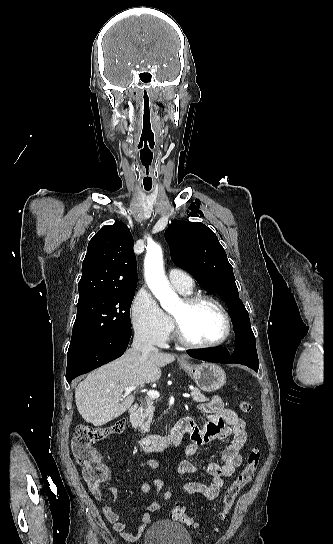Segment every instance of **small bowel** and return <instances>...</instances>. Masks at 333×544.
Listing matches in <instances>:
<instances>
[{
	"mask_svg": "<svg viewBox=\"0 0 333 544\" xmlns=\"http://www.w3.org/2000/svg\"><path fill=\"white\" fill-rule=\"evenodd\" d=\"M199 410L204 414L207 421L203 426L197 424L192 418H185L184 424L186 434L189 435L191 443L185 449V458L179 461L175 466V471L180 474H192L199 471V465L194 460L202 446L212 441L230 440L228 446L222 454L223 464L208 463L206 471L212 480L209 484L201 482H189L181 486L180 490L188 495L200 494L207 500H214L218 497L220 490L224 485V479L232 476L236 469L241 465L242 457L240 451L247 440L246 424L236 412L225 407L219 396H214L210 401L201 403ZM140 468L159 469L161 464L155 459H146L139 463ZM106 480L111 483L109 490L112 494L117 493V488L112 484L114 476L107 469ZM153 486L158 491L157 499L151 504H143V514L141 522L136 531L126 532L127 524L122 521L120 516L109 505L102 508L105 518L112 524L115 531L129 541H137L145 531L151 521V513L166 504L172 497V489L165 486L160 480H155ZM151 485L143 481L141 491L147 495L150 492ZM93 497L100 501L102 499L101 488H91Z\"/></svg>",
	"mask_w": 333,
	"mask_h": 544,
	"instance_id": "obj_1",
	"label": "small bowel"
}]
</instances>
